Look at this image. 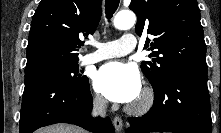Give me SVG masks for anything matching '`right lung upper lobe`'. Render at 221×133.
Listing matches in <instances>:
<instances>
[{
    "label": "right lung upper lobe",
    "mask_w": 221,
    "mask_h": 133,
    "mask_svg": "<svg viewBox=\"0 0 221 133\" xmlns=\"http://www.w3.org/2000/svg\"><path fill=\"white\" fill-rule=\"evenodd\" d=\"M102 0H41L32 19L25 74L78 62L80 38L93 34Z\"/></svg>",
    "instance_id": "1"
}]
</instances>
